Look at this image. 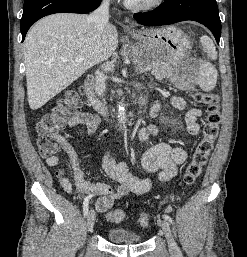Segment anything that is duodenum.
<instances>
[{
  "label": "duodenum",
  "mask_w": 247,
  "mask_h": 257,
  "mask_svg": "<svg viewBox=\"0 0 247 257\" xmlns=\"http://www.w3.org/2000/svg\"><path fill=\"white\" fill-rule=\"evenodd\" d=\"M95 76L94 75H89L85 79L84 82V90L85 94L88 98V101L92 105V107L103 114H108L109 110L106 107V105L97 97L95 93Z\"/></svg>",
  "instance_id": "1"
}]
</instances>
